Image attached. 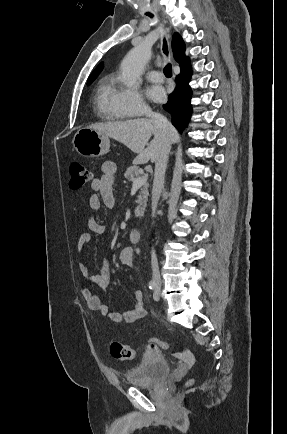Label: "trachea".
Masks as SVG:
<instances>
[{
	"label": "trachea",
	"mask_w": 287,
	"mask_h": 434,
	"mask_svg": "<svg viewBox=\"0 0 287 434\" xmlns=\"http://www.w3.org/2000/svg\"><path fill=\"white\" fill-rule=\"evenodd\" d=\"M149 17H153V15H151V14H147ZM163 52H164V54H166V55H168V49H167V43H166V40L164 39V42H163ZM164 75L167 77V78H170V77H172V66H171V64H167L165 67H164Z\"/></svg>",
	"instance_id": "1"
}]
</instances>
